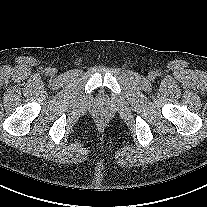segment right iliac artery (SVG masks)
Here are the masks:
<instances>
[{
    "instance_id": "82829eb1",
    "label": "right iliac artery",
    "mask_w": 207,
    "mask_h": 207,
    "mask_svg": "<svg viewBox=\"0 0 207 207\" xmlns=\"http://www.w3.org/2000/svg\"><path fill=\"white\" fill-rule=\"evenodd\" d=\"M46 72L48 73L49 72V69H46Z\"/></svg>"
}]
</instances>
